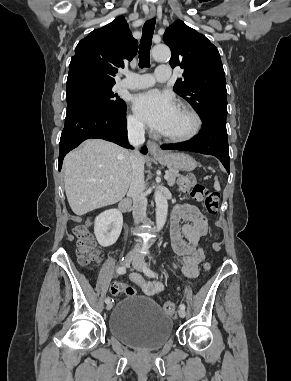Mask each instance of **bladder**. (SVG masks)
Segmentation results:
<instances>
[{"label":"bladder","instance_id":"bladder-1","mask_svg":"<svg viewBox=\"0 0 291 381\" xmlns=\"http://www.w3.org/2000/svg\"><path fill=\"white\" fill-rule=\"evenodd\" d=\"M108 321L110 335L138 350L159 349L173 334L171 317L149 296H129L119 301Z\"/></svg>","mask_w":291,"mask_h":381}]
</instances>
